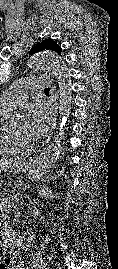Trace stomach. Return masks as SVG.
<instances>
[{"label":"stomach","instance_id":"stomach-1","mask_svg":"<svg viewBox=\"0 0 118 269\" xmlns=\"http://www.w3.org/2000/svg\"><path fill=\"white\" fill-rule=\"evenodd\" d=\"M27 169H28L27 164H20V165L12 166L11 168L12 172L14 173H25Z\"/></svg>","mask_w":118,"mask_h":269}]
</instances>
